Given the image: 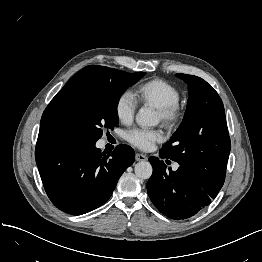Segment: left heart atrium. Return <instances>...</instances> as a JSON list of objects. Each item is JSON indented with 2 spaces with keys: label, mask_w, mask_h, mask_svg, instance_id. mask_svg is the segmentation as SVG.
Listing matches in <instances>:
<instances>
[{
  "label": "left heart atrium",
  "mask_w": 262,
  "mask_h": 262,
  "mask_svg": "<svg viewBox=\"0 0 262 262\" xmlns=\"http://www.w3.org/2000/svg\"><path fill=\"white\" fill-rule=\"evenodd\" d=\"M162 139L163 133L159 129L135 128L127 132V140L142 150L152 149L154 144Z\"/></svg>",
  "instance_id": "obj_1"
}]
</instances>
